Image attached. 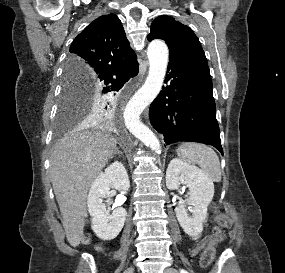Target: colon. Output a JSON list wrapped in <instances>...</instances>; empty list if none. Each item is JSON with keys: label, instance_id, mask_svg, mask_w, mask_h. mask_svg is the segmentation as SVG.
<instances>
[{"label": "colon", "instance_id": "colon-1", "mask_svg": "<svg viewBox=\"0 0 285 273\" xmlns=\"http://www.w3.org/2000/svg\"><path fill=\"white\" fill-rule=\"evenodd\" d=\"M214 220L215 227L213 236L210 239L207 247L204 249L200 259V264L203 268L209 267L214 261L216 256V239L221 237L224 231L231 225V220L224 213L218 210L215 211Z\"/></svg>", "mask_w": 285, "mask_h": 273}]
</instances>
